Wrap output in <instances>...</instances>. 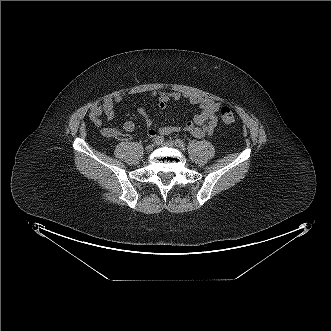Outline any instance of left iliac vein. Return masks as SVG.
Instances as JSON below:
<instances>
[{
    "mask_svg": "<svg viewBox=\"0 0 331 331\" xmlns=\"http://www.w3.org/2000/svg\"><path fill=\"white\" fill-rule=\"evenodd\" d=\"M163 145L167 147H178L174 141H166Z\"/></svg>",
    "mask_w": 331,
    "mask_h": 331,
    "instance_id": "1",
    "label": "left iliac vein"
}]
</instances>
